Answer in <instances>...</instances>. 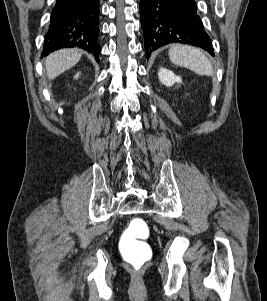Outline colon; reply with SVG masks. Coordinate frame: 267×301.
Here are the masks:
<instances>
[{
  "instance_id": "1",
  "label": "colon",
  "mask_w": 267,
  "mask_h": 301,
  "mask_svg": "<svg viewBox=\"0 0 267 301\" xmlns=\"http://www.w3.org/2000/svg\"><path fill=\"white\" fill-rule=\"evenodd\" d=\"M149 236L147 223L139 217L133 218L124 231L120 251L127 263L140 270L151 259V248L145 241Z\"/></svg>"
}]
</instances>
